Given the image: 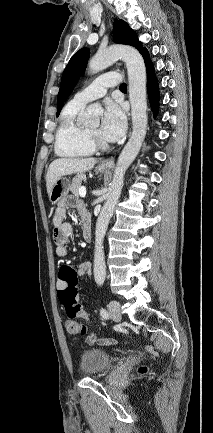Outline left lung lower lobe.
<instances>
[{"label":"left lung lower lobe","instance_id":"1","mask_svg":"<svg viewBox=\"0 0 213 433\" xmlns=\"http://www.w3.org/2000/svg\"><path fill=\"white\" fill-rule=\"evenodd\" d=\"M142 56L144 58L146 69H147V90H148L149 101H150L153 114L154 116H156L158 112V99H159L158 82L154 74L153 64L150 60L148 51H146Z\"/></svg>","mask_w":213,"mask_h":433}]
</instances>
